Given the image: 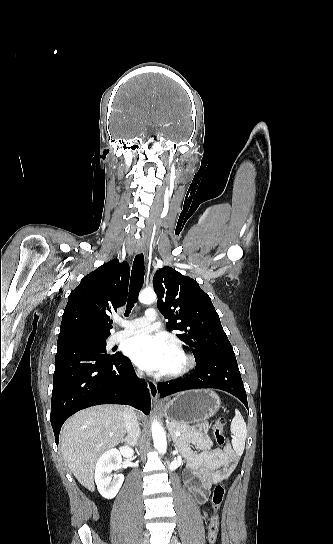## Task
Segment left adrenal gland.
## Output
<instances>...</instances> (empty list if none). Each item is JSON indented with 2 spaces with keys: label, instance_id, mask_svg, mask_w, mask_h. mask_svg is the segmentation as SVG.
I'll return each instance as SVG.
<instances>
[{
  "label": "left adrenal gland",
  "instance_id": "obj_1",
  "mask_svg": "<svg viewBox=\"0 0 333 544\" xmlns=\"http://www.w3.org/2000/svg\"><path fill=\"white\" fill-rule=\"evenodd\" d=\"M171 437H172L173 442H175L176 441L175 437L172 434H171Z\"/></svg>",
  "mask_w": 333,
  "mask_h": 544
}]
</instances>
